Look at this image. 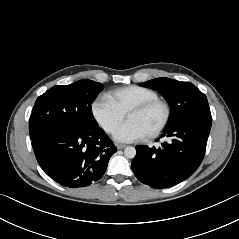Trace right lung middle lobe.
<instances>
[{
    "label": "right lung middle lobe",
    "instance_id": "right-lung-middle-lobe-1",
    "mask_svg": "<svg viewBox=\"0 0 239 239\" xmlns=\"http://www.w3.org/2000/svg\"><path fill=\"white\" fill-rule=\"evenodd\" d=\"M104 86L92 80L56 85L39 96L29 119L31 139L46 129L84 130L98 126L91 104Z\"/></svg>",
    "mask_w": 239,
    "mask_h": 239
}]
</instances>
